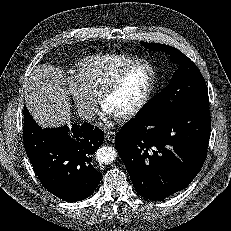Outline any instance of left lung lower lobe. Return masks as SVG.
Listing matches in <instances>:
<instances>
[{
    "label": "left lung lower lobe",
    "instance_id": "obj_1",
    "mask_svg": "<svg viewBox=\"0 0 231 231\" xmlns=\"http://www.w3.org/2000/svg\"><path fill=\"white\" fill-rule=\"evenodd\" d=\"M210 128L209 104L126 124L115 146L136 191L161 200L186 188L205 161Z\"/></svg>",
    "mask_w": 231,
    "mask_h": 231
}]
</instances>
